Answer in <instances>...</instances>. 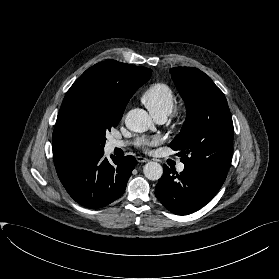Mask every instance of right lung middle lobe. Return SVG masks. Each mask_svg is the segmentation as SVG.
<instances>
[{
	"mask_svg": "<svg viewBox=\"0 0 279 279\" xmlns=\"http://www.w3.org/2000/svg\"><path fill=\"white\" fill-rule=\"evenodd\" d=\"M121 118L95 111L77 90L67 92L60 108L52 143L70 159L104 151L105 134Z\"/></svg>",
	"mask_w": 279,
	"mask_h": 279,
	"instance_id": "right-lung-middle-lobe-1",
	"label": "right lung middle lobe"
}]
</instances>
